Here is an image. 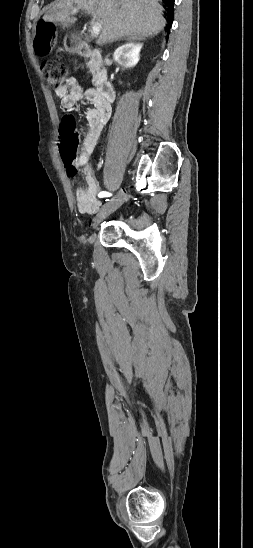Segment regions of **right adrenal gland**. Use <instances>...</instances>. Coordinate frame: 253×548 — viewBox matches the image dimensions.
Wrapping results in <instances>:
<instances>
[{"label": "right adrenal gland", "instance_id": "1", "mask_svg": "<svg viewBox=\"0 0 253 548\" xmlns=\"http://www.w3.org/2000/svg\"><path fill=\"white\" fill-rule=\"evenodd\" d=\"M125 40H128L129 38H124Z\"/></svg>", "mask_w": 253, "mask_h": 548}]
</instances>
